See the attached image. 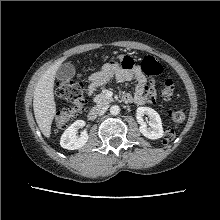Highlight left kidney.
<instances>
[{
    "label": "left kidney",
    "mask_w": 220,
    "mask_h": 220,
    "mask_svg": "<svg viewBox=\"0 0 220 220\" xmlns=\"http://www.w3.org/2000/svg\"><path fill=\"white\" fill-rule=\"evenodd\" d=\"M137 120L140 123V132L149 139H159L163 136L164 131L160 115L152 108L139 107L137 109ZM147 115L150 119L149 126L143 121L142 116Z\"/></svg>",
    "instance_id": "left-kidney-1"
}]
</instances>
